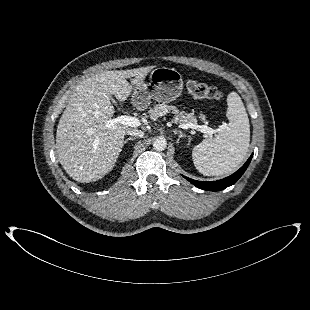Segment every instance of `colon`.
<instances>
[{"label": "colon", "mask_w": 310, "mask_h": 310, "mask_svg": "<svg viewBox=\"0 0 310 310\" xmlns=\"http://www.w3.org/2000/svg\"><path fill=\"white\" fill-rule=\"evenodd\" d=\"M186 89L190 95L198 99L219 101L223 97L222 92L216 87L208 86L196 80H188Z\"/></svg>", "instance_id": "1"}]
</instances>
